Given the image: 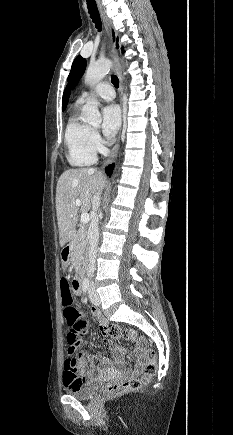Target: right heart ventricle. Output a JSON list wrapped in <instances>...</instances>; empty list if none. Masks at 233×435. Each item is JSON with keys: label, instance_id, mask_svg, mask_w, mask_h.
Instances as JSON below:
<instances>
[{"label": "right heart ventricle", "instance_id": "obj_1", "mask_svg": "<svg viewBox=\"0 0 233 435\" xmlns=\"http://www.w3.org/2000/svg\"><path fill=\"white\" fill-rule=\"evenodd\" d=\"M91 133L90 126L82 122L76 113L70 116L64 138L67 159L71 165L84 167L96 162V153L91 145Z\"/></svg>", "mask_w": 233, "mask_h": 435}]
</instances>
